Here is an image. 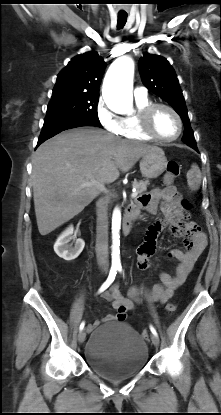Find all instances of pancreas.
I'll return each mask as SVG.
<instances>
[{"label": "pancreas", "mask_w": 221, "mask_h": 415, "mask_svg": "<svg viewBox=\"0 0 221 415\" xmlns=\"http://www.w3.org/2000/svg\"><path fill=\"white\" fill-rule=\"evenodd\" d=\"M147 185H149V181H134L132 183L133 188L136 189L137 194H141L142 192L147 190Z\"/></svg>", "instance_id": "obj_1"}]
</instances>
